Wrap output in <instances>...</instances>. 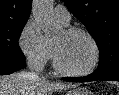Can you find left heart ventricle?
<instances>
[{
    "label": "left heart ventricle",
    "instance_id": "b2bd125f",
    "mask_svg": "<svg viewBox=\"0 0 119 95\" xmlns=\"http://www.w3.org/2000/svg\"><path fill=\"white\" fill-rule=\"evenodd\" d=\"M61 63L68 69H87L94 58L91 42L81 34L69 35L65 31L54 41Z\"/></svg>",
    "mask_w": 119,
    "mask_h": 95
}]
</instances>
